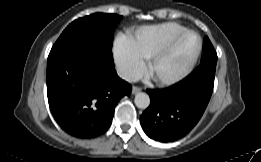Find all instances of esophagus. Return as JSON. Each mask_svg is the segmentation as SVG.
<instances>
[{"label": "esophagus", "mask_w": 261, "mask_h": 162, "mask_svg": "<svg viewBox=\"0 0 261 162\" xmlns=\"http://www.w3.org/2000/svg\"><path fill=\"white\" fill-rule=\"evenodd\" d=\"M141 91V88L140 87H137V86H133L132 88V94H137Z\"/></svg>", "instance_id": "esophagus-1"}]
</instances>
